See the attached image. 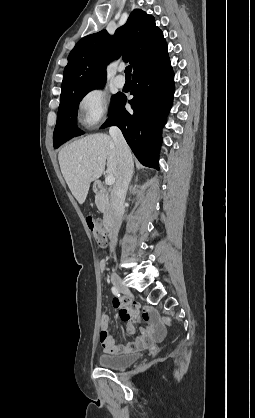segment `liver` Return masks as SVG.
Wrapping results in <instances>:
<instances>
[{
	"instance_id": "obj_1",
	"label": "liver",
	"mask_w": 255,
	"mask_h": 418,
	"mask_svg": "<svg viewBox=\"0 0 255 418\" xmlns=\"http://www.w3.org/2000/svg\"><path fill=\"white\" fill-rule=\"evenodd\" d=\"M63 177L79 204L86 200L92 181L107 174L115 178L118 155L112 138L104 133L88 135L65 146L58 154Z\"/></svg>"
}]
</instances>
